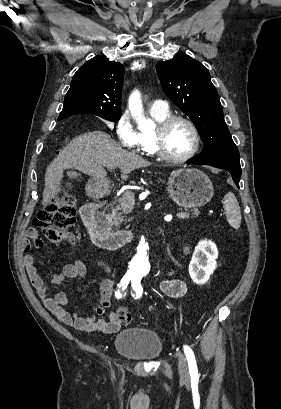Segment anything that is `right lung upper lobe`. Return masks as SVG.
I'll use <instances>...</instances> for the list:
<instances>
[{
  "mask_svg": "<svg viewBox=\"0 0 281 409\" xmlns=\"http://www.w3.org/2000/svg\"><path fill=\"white\" fill-rule=\"evenodd\" d=\"M124 66L98 55L75 73L58 120L75 114L121 115Z\"/></svg>",
  "mask_w": 281,
  "mask_h": 409,
  "instance_id": "obj_1",
  "label": "right lung upper lobe"
}]
</instances>
